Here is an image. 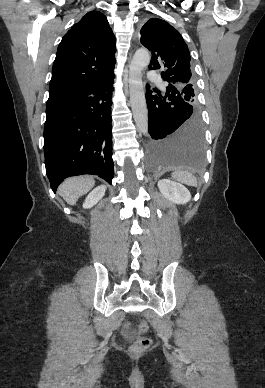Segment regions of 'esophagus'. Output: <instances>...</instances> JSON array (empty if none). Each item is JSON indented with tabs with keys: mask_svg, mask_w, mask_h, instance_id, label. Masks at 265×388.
<instances>
[{
	"mask_svg": "<svg viewBox=\"0 0 265 388\" xmlns=\"http://www.w3.org/2000/svg\"><path fill=\"white\" fill-rule=\"evenodd\" d=\"M133 47H136V42H134V45H133Z\"/></svg>",
	"mask_w": 265,
	"mask_h": 388,
	"instance_id": "obj_1",
	"label": "esophagus"
}]
</instances>
